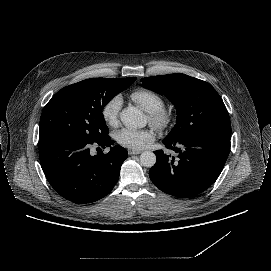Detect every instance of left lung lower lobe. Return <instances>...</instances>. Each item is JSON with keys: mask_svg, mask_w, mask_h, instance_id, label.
I'll return each mask as SVG.
<instances>
[{"mask_svg": "<svg viewBox=\"0 0 271 271\" xmlns=\"http://www.w3.org/2000/svg\"><path fill=\"white\" fill-rule=\"evenodd\" d=\"M231 133L206 130L189 137L168 141L167 148L177 157L155 152L157 160L150 169L151 181L161 191L176 197H192L209 188L220 175L230 151ZM181 144L183 149L177 148Z\"/></svg>", "mask_w": 271, "mask_h": 271, "instance_id": "0a47b994", "label": "left lung lower lobe"}]
</instances>
